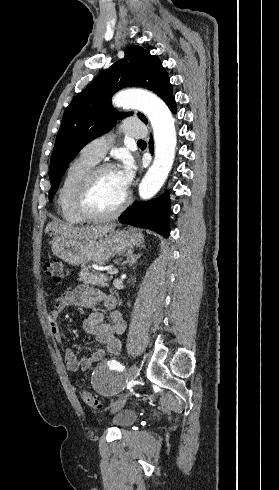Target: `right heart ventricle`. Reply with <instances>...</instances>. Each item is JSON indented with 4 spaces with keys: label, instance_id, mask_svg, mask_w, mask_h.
<instances>
[{
    "label": "right heart ventricle",
    "instance_id": "e07e8e85",
    "mask_svg": "<svg viewBox=\"0 0 279 490\" xmlns=\"http://www.w3.org/2000/svg\"><path fill=\"white\" fill-rule=\"evenodd\" d=\"M95 164L80 155L65 170L58 191V204L62 218L69 224L82 225L88 221L78 211L77 194L83 177Z\"/></svg>",
    "mask_w": 279,
    "mask_h": 490
}]
</instances>
